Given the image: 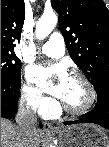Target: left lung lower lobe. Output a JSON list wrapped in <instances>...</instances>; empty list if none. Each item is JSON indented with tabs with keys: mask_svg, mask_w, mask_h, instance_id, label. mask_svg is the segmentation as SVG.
Instances as JSON below:
<instances>
[{
	"mask_svg": "<svg viewBox=\"0 0 109 147\" xmlns=\"http://www.w3.org/2000/svg\"><path fill=\"white\" fill-rule=\"evenodd\" d=\"M95 90L98 96L95 108L85 117L76 121L64 122V125L94 123L109 130V81L102 82Z\"/></svg>",
	"mask_w": 109,
	"mask_h": 147,
	"instance_id": "left-lung-lower-lobe-1",
	"label": "left lung lower lobe"
}]
</instances>
